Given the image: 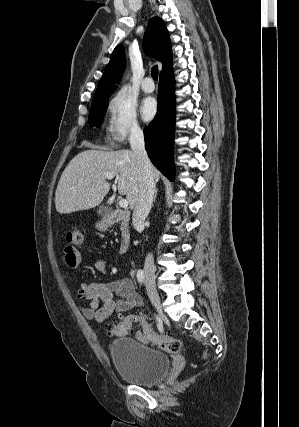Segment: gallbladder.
Returning <instances> with one entry per match:
<instances>
[{
    "label": "gallbladder",
    "mask_w": 299,
    "mask_h": 427,
    "mask_svg": "<svg viewBox=\"0 0 299 427\" xmlns=\"http://www.w3.org/2000/svg\"><path fill=\"white\" fill-rule=\"evenodd\" d=\"M109 212H110V209H109L108 207H106V206H102V207H100V208H99V210H98V214H99L100 216H102V217H104V216H106L107 214H109Z\"/></svg>",
    "instance_id": "1"
}]
</instances>
